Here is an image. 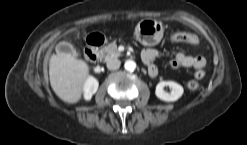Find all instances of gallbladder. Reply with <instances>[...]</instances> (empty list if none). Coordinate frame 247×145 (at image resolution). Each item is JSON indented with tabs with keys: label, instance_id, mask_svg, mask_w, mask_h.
Wrapping results in <instances>:
<instances>
[{
	"label": "gallbladder",
	"instance_id": "bac80fb5",
	"mask_svg": "<svg viewBox=\"0 0 247 145\" xmlns=\"http://www.w3.org/2000/svg\"><path fill=\"white\" fill-rule=\"evenodd\" d=\"M56 52L60 55H67L70 57L79 56L77 50L68 42H60L59 44H57Z\"/></svg>",
	"mask_w": 247,
	"mask_h": 145
}]
</instances>
